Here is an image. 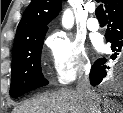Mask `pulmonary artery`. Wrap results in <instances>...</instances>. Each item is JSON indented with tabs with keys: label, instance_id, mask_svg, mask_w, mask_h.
<instances>
[{
	"label": "pulmonary artery",
	"instance_id": "pulmonary-artery-1",
	"mask_svg": "<svg viewBox=\"0 0 123 113\" xmlns=\"http://www.w3.org/2000/svg\"><path fill=\"white\" fill-rule=\"evenodd\" d=\"M94 11H95L94 8L90 9L91 14H94ZM87 27L91 31H98L100 29V23L95 17H91L87 22Z\"/></svg>",
	"mask_w": 123,
	"mask_h": 113
}]
</instances>
